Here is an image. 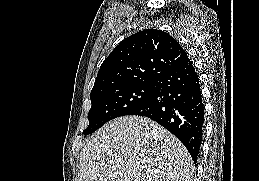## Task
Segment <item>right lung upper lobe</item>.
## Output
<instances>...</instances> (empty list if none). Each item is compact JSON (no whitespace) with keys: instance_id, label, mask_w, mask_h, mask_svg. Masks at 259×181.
Segmentation results:
<instances>
[{"instance_id":"obj_1","label":"right lung upper lobe","mask_w":259,"mask_h":181,"mask_svg":"<svg viewBox=\"0 0 259 181\" xmlns=\"http://www.w3.org/2000/svg\"><path fill=\"white\" fill-rule=\"evenodd\" d=\"M188 58L168 33L147 29L120 42L102 63L91 95L112 88L154 83Z\"/></svg>"}]
</instances>
